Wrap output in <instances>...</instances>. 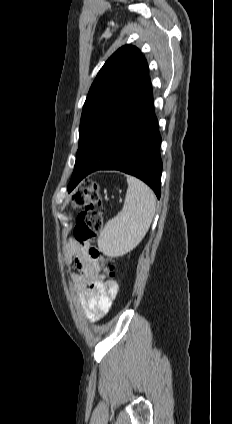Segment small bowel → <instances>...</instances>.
<instances>
[{
	"mask_svg": "<svg viewBox=\"0 0 232 424\" xmlns=\"http://www.w3.org/2000/svg\"><path fill=\"white\" fill-rule=\"evenodd\" d=\"M89 245L69 239L63 249L64 261L74 266L70 278L78 295V302L90 322L101 319L110 309L117 294V283L105 282L96 260L88 254Z\"/></svg>",
	"mask_w": 232,
	"mask_h": 424,
	"instance_id": "c3829d8e",
	"label": "small bowel"
}]
</instances>
